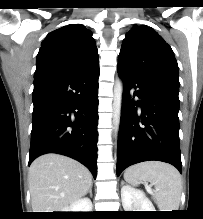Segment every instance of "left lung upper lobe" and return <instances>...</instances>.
Wrapping results in <instances>:
<instances>
[{"mask_svg":"<svg viewBox=\"0 0 203 219\" xmlns=\"http://www.w3.org/2000/svg\"><path fill=\"white\" fill-rule=\"evenodd\" d=\"M118 65L139 75L179 86L178 64L171 47L146 25H135L126 34Z\"/></svg>","mask_w":203,"mask_h":219,"instance_id":"1","label":"left lung upper lobe"}]
</instances>
